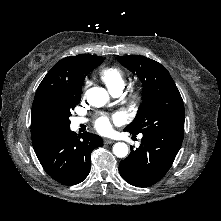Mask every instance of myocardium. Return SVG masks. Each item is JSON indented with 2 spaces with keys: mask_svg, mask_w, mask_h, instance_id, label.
<instances>
[{
  "mask_svg": "<svg viewBox=\"0 0 221 221\" xmlns=\"http://www.w3.org/2000/svg\"><path fill=\"white\" fill-rule=\"evenodd\" d=\"M140 99V93L138 90H134L130 95H129V100L131 103H136Z\"/></svg>",
  "mask_w": 221,
  "mask_h": 221,
  "instance_id": "1",
  "label": "myocardium"
}]
</instances>
